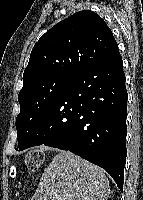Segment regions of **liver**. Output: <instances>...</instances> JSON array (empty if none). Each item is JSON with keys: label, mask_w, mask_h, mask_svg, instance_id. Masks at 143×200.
<instances>
[{"label": "liver", "mask_w": 143, "mask_h": 200, "mask_svg": "<svg viewBox=\"0 0 143 200\" xmlns=\"http://www.w3.org/2000/svg\"><path fill=\"white\" fill-rule=\"evenodd\" d=\"M109 194L103 169L60 151L44 170L31 200H107Z\"/></svg>", "instance_id": "liver-1"}]
</instances>
